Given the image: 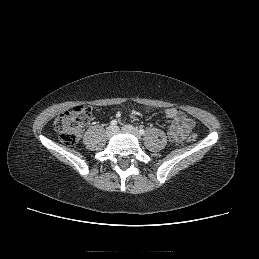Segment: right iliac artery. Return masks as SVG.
<instances>
[{"label": "right iliac artery", "mask_w": 259, "mask_h": 259, "mask_svg": "<svg viewBox=\"0 0 259 259\" xmlns=\"http://www.w3.org/2000/svg\"><path fill=\"white\" fill-rule=\"evenodd\" d=\"M110 124H111V126H116V125H117V120H112V121L110 122Z\"/></svg>", "instance_id": "right-iliac-artery-1"}]
</instances>
